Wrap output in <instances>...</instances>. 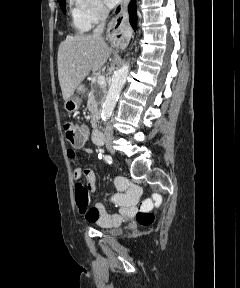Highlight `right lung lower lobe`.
Wrapping results in <instances>:
<instances>
[{
  "mask_svg": "<svg viewBox=\"0 0 240 288\" xmlns=\"http://www.w3.org/2000/svg\"><path fill=\"white\" fill-rule=\"evenodd\" d=\"M128 10H129L130 24L135 29L137 24L136 0H131ZM116 12H119V8L117 9Z\"/></svg>",
  "mask_w": 240,
  "mask_h": 288,
  "instance_id": "1",
  "label": "right lung lower lobe"
}]
</instances>
